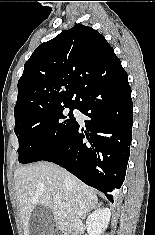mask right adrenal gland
I'll use <instances>...</instances> for the list:
<instances>
[{
	"label": "right adrenal gland",
	"mask_w": 155,
	"mask_h": 235,
	"mask_svg": "<svg viewBox=\"0 0 155 235\" xmlns=\"http://www.w3.org/2000/svg\"><path fill=\"white\" fill-rule=\"evenodd\" d=\"M86 214L82 217V218H85Z\"/></svg>",
	"instance_id": "right-adrenal-gland-1"
}]
</instances>
